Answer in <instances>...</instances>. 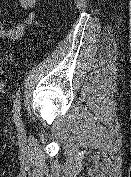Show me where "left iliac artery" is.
Wrapping results in <instances>:
<instances>
[{"label": "left iliac artery", "instance_id": "1", "mask_svg": "<svg viewBox=\"0 0 131 177\" xmlns=\"http://www.w3.org/2000/svg\"><path fill=\"white\" fill-rule=\"evenodd\" d=\"M20 110H21V95L19 92H17L13 102V113L17 121H19L21 116Z\"/></svg>", "mask_w": 131, "mask_h": 177}]
</instances>
